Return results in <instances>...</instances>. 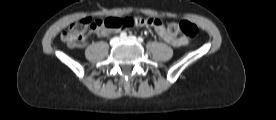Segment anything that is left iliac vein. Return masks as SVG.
<instances>
[{"instance_id":"1","label":"left iliac vein","mask_w":276,"mask_h":120,"mask_svg":"<svg viewBox=\"0 0 276 120\" xmlns=\"http://www.w3.org/2000/svg\"><path fill=\"white\" fill-rule=\"evenodd\" d=\"M124 40H130L133 42H137V38L135 36H129V37L122 38V41H124Z\"/></svg>"}]
</instances>
